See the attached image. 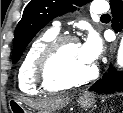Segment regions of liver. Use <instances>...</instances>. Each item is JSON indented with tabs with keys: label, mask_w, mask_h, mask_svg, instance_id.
I'll return each mask as SVG.
<instances>
[{
	"label": "liver",
	"mask_w": 123,
	"mask_h": 113,
	"mask_svg": "<svg viewBox=\"0 0 123 113\" xmlns=\"http://www.w3.org/2000/svg\"><path fill=\"white\" fill-rule=\"evenodd\" d=\"M18 100L45 113L63 108L71 101L69 97L56 98L53 100H31L25 98H18Z\"/></svg>",
	"instance_id": "6515ba94"
}]
</instances>
